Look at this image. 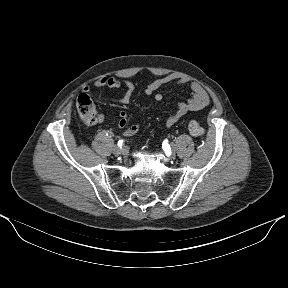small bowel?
<instances>
[{
  "mask_svg": "<svg viewBox=\"0 0 288 288\" xmlns=\"http://www.w3.org/2000/svg\"><path fill=\"white\" fill-rule=\"evenodd\" d=\"M169 83H177L180 85H186L191 91V98L184 102H180L178 104L177 110L169 115L166 120V126L171 127L175 125L182 117H184L189 112L199 111L205 108L209 104V95L205 91V89L196 81L189 79L186 76L179 74H169L164 77L158 78L148 84L145 89L146 95H153L156 101H161L163 99V95L161 93L156 92L162 86ZM94 86L96 88H114L118 89L124 87V94L122 97L118 99H114L115 103L121 105L129 104L131 100V96L134 92V84L129 80L119 81L112 77H102L98 79ZM91 88L86 86L84 88L85 93H89ZM103 120V116H100L99 122ZM117 125L120 128H123L124 136H133L137 134L140 130V126L138 124H132L128 126V115L125 111H120L118 113Z\"/></svg>",
  "mask_w": 288,
  "mask_h": 288,
  "instance_id": "1",
  "label": "small bowel"
}]
</instances>
